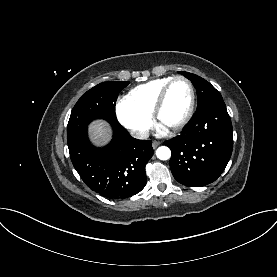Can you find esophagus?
Returning a JSON list of instances; mask_svg holds the SVG:
<instances>
[{
    "label": "esophagus",
    "mask_w": 277,
    "mask_h": 277,
    "mask_svg": "<svg viewBox=\"0 0 277 277\" xmlns=\"http://www.w3.org/2000/svg\"><path fill=\"white\" fill-rule=\"evenodd\" d=\"M159 145H160V142H159V141H153V142H152V147H153V149H156Z\"/></svg>",
    "instance_id": "esophagus-1"
}]
</instances>
